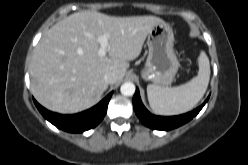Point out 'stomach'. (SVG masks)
I'll return each mask as SVG.
<instances>
[{
    "label": "stomach",
    "instance_id": "1",
    "mask_svg": "<svg viewBox=\"0 0 248 165\" xmlns=\"http://www.w3.org/2000/svg\"><path fill=\"white\" fill-rule=\"evenodd\" d=\"M148 57L141 76L157 86L170 85L179 68L174 52V34L169 24L163 22L155 25L147 35Z\"/></svg>",
    "mask_w": 248,
    "mask_h": 165
}]
</instances>
